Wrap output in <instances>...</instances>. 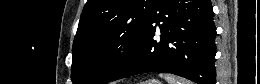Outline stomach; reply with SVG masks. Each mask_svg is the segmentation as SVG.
Masks as SVG:
<instances>
[{"label":"stomach","mask_w":260,"mask_h":84,"mask_svg":"<svg viewBox=\"0 0 260 84\" xmlns=\"http://www.w3.org/2000/svg\"><path fill=\"white\" fill-rule=\"evenodd\" d=\"M142 84H161V82L157 79H149V80L143 82Z\"/></svg>","instance_id":"0dacf381"}]
</instances>
